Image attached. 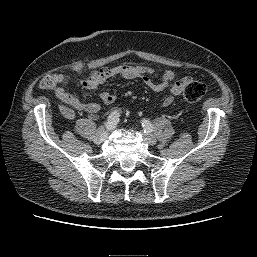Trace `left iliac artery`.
<instances>
[{
  "label": "left iliac artery",
  "instance_id": "1",
  "mask_svg": "<svg viewBox=\"0 0 257 257\" xmlns=\"http://www.w3.org/2000/svg\"><path fill=\"white\" fill-rule=\"evenodd\" d=\"M142 126L144 128V132H152L153 131V125L149 120L143 119L142 120Z\"/></svg>",
  "mask_w": 257,
  "mask_h": 257
}]
</instances>
